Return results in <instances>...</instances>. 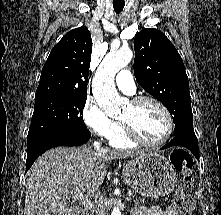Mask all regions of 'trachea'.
<instances>
[{
  "mask_svg": "<svg viewBox=\"0 0 221 215\" xmlns=\"http://www.w3.org/2000/svg\"><path fill=\"white\" fill-rule=\"evenodd\" d=\"M124 5H125L124 3L123 4L113 3V8L116 14H119L123 10Z\"/></svg>",
  "mask_w": 221,
  "mask_h": 215,
  "instance_id": "1",
  "label": "trachea"
}]
</instances>
